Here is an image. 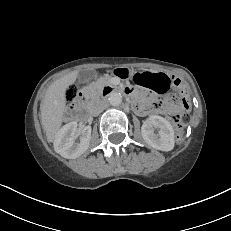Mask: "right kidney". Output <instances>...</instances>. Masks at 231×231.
Wrapping results in <instances>:
<instances>
[{
    "label": "right kidney",
    "instance_id": "1",
    "mask_svg": "<svg viewBox=\"0 0 231 231\" xmlns=\"http://www.w3.org/2000/svg\"><path fill=\"white\" fill-rule=\"evenodd\" d=\"M77 125L75 121L70 122L60 128L55 135L54 149L64 158L75 159L81 156L89 147L91 127H85L81 131L80 142L75 143Z\"/></svg>",
    "mask_w": 231,
    "mask_h": 231
}]
</instances>
